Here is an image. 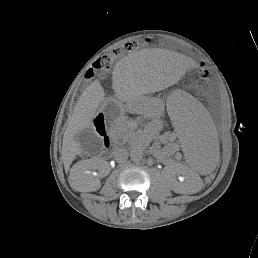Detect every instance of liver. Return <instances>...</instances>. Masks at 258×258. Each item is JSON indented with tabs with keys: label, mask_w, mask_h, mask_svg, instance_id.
Returning <instances> with one entry per match:
<instances>
[{
	"label": "liver",
	"mask_w": 258,
	"mask_h": 258,
	"mask_svg": "<svg viewBox=\"0 0 258 258\" xmlns=\"http://www.w3.org/2000/svg\"><path fill=\"white\" fill-rule=\"evenodd\" d=\"M162 75L165 74L160 65L145 61L138 52L116 64L112 87L119 100L128 101L134 88L133 84L140 76ZM104 102V89L98 80L93 81L80 96L63 136L62 159L66 170L69 169L75 156L82 153L81 145L75 139V135L81 130L91 127L97 110ZM76 166L70 171L68 178L70 186L77 191H89L91 183L85 181L82 176L73 175Z\"/></svg>",
	"instance_id": "6515ba94"
}]
</instances>
